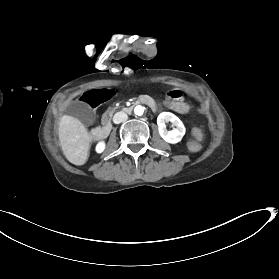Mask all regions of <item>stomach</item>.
I'll use <instances>...</instances> for the list:
<instances>
[{
	"instance_id": "1",
	"label": "stomach",
	"mask_w": 279,
	"mask_h": 279,
	"mask_svg": "<svg viewBox=\"0 0 279 279\" xmlns=\"http://www.w3.org/2000/svg\"><path fill=\"white\" fill-rule=\"evenodd\" d=\"M162 106L164 108H169L171 106V101L169 99H164L162 101ZM173 108L175 110H181L182 112L192 111V107H190V105L187 102L183 101H175L173 103Z\"/></svg>"
}]
</instances>
